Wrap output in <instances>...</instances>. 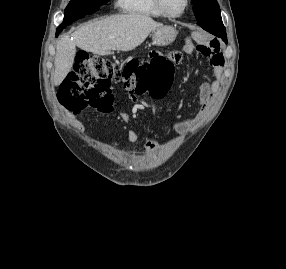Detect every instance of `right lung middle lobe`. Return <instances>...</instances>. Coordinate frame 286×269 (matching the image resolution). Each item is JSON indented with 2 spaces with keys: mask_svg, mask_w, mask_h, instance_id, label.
<instances>
[{
  "mask_svg": "<svg viewBox=\"0 0 286 269\" xmlns=\"http://www.w3.org/2000/svg\"><path fill=\"white\" fill-rule=\"evenodd\" d=\"M109 0H71L65 9L64 20L57 28L61 32L67 25L84 17L85 15L96 12L103 4Z\"/></svg>",
  "mask_w": 286,
  "mask_h": 269,
  "instance_id": "right-lung-middle-lobe-1",
  "label": "right lung middle lobe"
}]
</instances>
